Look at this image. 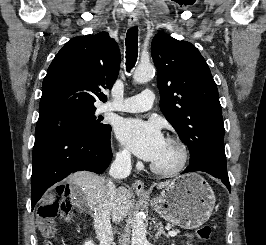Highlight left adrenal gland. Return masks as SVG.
<instances>
[{"label": "left adrenal gland", "instance_id": "1", "mask_svg": "<svg viewBox=\"0 0 266 245\" xmlns=\"http://www.w3.org/2000/svg\"><path fill=\"white\" fill-rule=\"evenodd\" d=\"M161 235H165V237H168V235H166L164 229H163V225L162 223H158L157 225V233L155 235V239H159V237H161Z\"/></svg>", "mask_w": 266, "mask_h": 245}]
</instances>
